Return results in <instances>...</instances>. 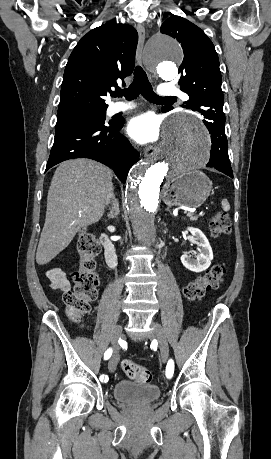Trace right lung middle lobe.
Wrapping results in <instances>:
<instances>
[{
    "instance_id": "right-lung-middle-lobe-1",
    "label": "right lung middle lobe",
    "mask_w": 271,
    "mask_h": 459,
    "mask_svg": "<svg viewBox=\"0 0 271 459\" xmlns=\"http://www.w3.org/2000/svg\"><path fill=\"white\" fill-rule=\"evenodd\" d=\"M108 106L86 105L66 111H58L55 132L67 127L80 124H111L106 123V109Z\"/></svg>"
}]
</instances>
